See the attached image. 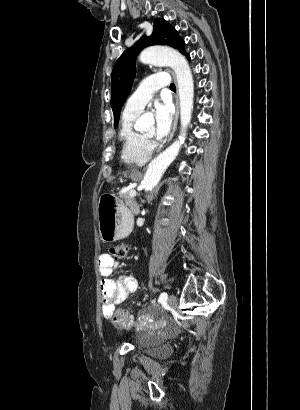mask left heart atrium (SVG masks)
Here are the masks:
<instances>
[{
	"label": "left heart atrium",
	"instance_id": "1",
	"mask_svg": "<svg viewBox=\"0 0 300 410\" xmlns=\"http://www.w3.org/2000/svg\"><path fill=\"white\" fill-rule=\"evenodd\" d=\"M155 117V132L154 136L157 140L165 138L172 125V111L168 104L157 103L154 106Z\"/></svg>",
	"mask_w": 300,
	"mask_h": 410
}]
</instances>
